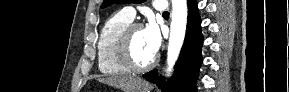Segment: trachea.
Segmentation results:
<instances>
[{
	"instance_id": "3493384b",
	"label": "trachea",
	"mask_w": 289,
	"mask_h": 92,
	"mask_svg": "<svg viewBox=\"0 0 289 92\" xmlns=\"http://www.w3.org/2000/svg\"><path fill=\"white\" fill-rule=\"evenodd\" d=\"M163 15H169V12L166 11V12L163 13Z\"/></svg>"
}]
</instances>
